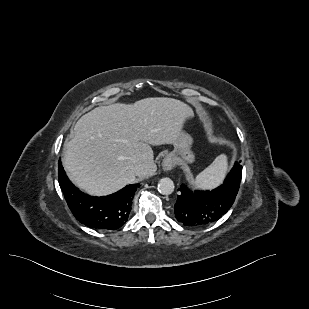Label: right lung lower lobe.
Instances as JSON below:
<instances>
[{
	"label": "right lung lower lobe",
	"mask_w": 309,
	"mask_h": 309,
	"mask_svg": "<svg viewBox=\"0 0 309 309\" xmlns=\"http://www.w3.org/2000/svg\"><path fill=\"white\" fill-rule=\"evenodd\" d=\"M58 167L59 185L70 210L80 223L91 228L107 230H115L125 224L138 184L128 185L105 197H91L69 181L60 160Z\"/></svg>",
	"instance_id": "1"
}]
</instances>
